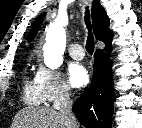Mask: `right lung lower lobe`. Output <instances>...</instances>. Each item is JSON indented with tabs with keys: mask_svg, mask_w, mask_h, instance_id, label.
I'll use <instances>...</instances> for the list:
<instances>
[{
	"mask_svg": "<svg viewBox=\"0 0 142 128\" xmlns=\"http://www.w3.org/2000/svg\"><path fill=\"white\" fill-rule=\"evenodd\" d=\"M114 101L109 60L103 51L97 50L94 54V75L91 86L77 99L72 110L86 128H111Z\"/></svg>",
	"mask_w": 142,
	"mask_h": 128,
	"instance_id": "right-lung-lower-lobe-1",
	"label": "right lung lower lobe"
}]
</instances>
